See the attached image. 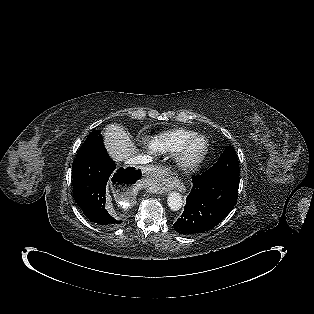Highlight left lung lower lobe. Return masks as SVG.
<instances>
[{
    "label": "left lung lower lobe",
    "instance_id": "left-lung-lower-lobe-1",
    "mask_svg": "<svg viewBox=\"0 0 314 314\" xmlns=\"http://www.w3.org/2000/svg\"><path fill=\"white\" fill-rule=\"evenodd\" d=\"M239 175H201L192 178L184 212L175 224L179 234L208 231L220 223L237 202Z\"/></svg>",
    "mask_w": 314,
    "mask_h": 314
}]
</instances>
